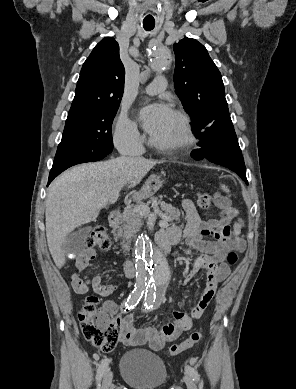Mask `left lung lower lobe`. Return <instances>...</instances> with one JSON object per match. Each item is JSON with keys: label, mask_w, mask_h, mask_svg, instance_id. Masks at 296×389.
Returning a JSON list of instances; mask_svg holds the SVG:
<instances>
[{"label": "left lung lower lobe", "mask_w": 296, "mask_h": 389, "mask_svg": "<svg viewBox=\"0 0 296 389\" xmlns=\"http://www.w3.org/2000/svg\"><path fill=\"white\" fill-rule=\"evenodd\" d=\"M198 140L199 148L191 152L193 159H205L229 168L248 184L244 159L229 113L206 127Z\"/></svg>", "instance_id": "obj_1"}]
</instances>
